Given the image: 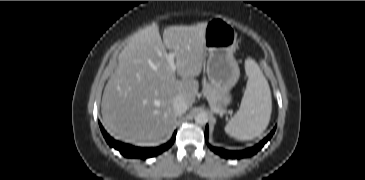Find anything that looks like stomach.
<instances>
[{"label": "stomach", "instance_id": "1", "mask_svg": "<svg viewBox=\"0 0 365 180\" xmlns=\"http://www.w3.org/2000/svg\"><path fill=\"white\" fill-rule=\"evenodd\" d=\"M205 50L208 52L206 72L210 85L217 91L219 101L226 106L231 102L230 90L237 83L240 69L234 58L237 33L223 18L206 22Z\"/></svg>", "mask_w": 365, "mask_h": 180}]
</instances>
